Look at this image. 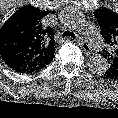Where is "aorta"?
<instances>
[{
    "label": "aorta",
    "instance_id": "762f6f07",
    "mask_svg": "<svg viewBox=\"0 0 118 118\" xmlns=\"http://www.w3.org/2000/svg\"><path fill=\"white\" fill-rule=\"evenodd\" d=\"M62 22L72 30L80 31L85 25V19L81 12L74 7L66 9L61 15ZM89 69L95 74H103L108 69L107 60L100 56L95 55L88 59L87 63Z\"/></svg>",
    "mask_w": 118,
    "mask_h": 118
}]
</instances>
